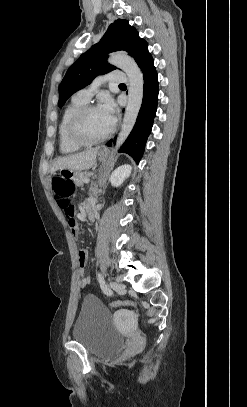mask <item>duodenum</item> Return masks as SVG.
<instances>
[{"label": "duodenum", "mask_w": 247, "mask_h": 407, "mask_svg": "<svg viewBox=\"0 0 247 407\" xmlns=\"http://www.w3.org/2000/svg\"><path fill=\"white\" fill-rule=\"evenodd\" d=\"M86 218L89 221H94V219H95V209L90 200L86 204Z\"/></svg>", "instance_id": "obj_1"}]
</instances>
